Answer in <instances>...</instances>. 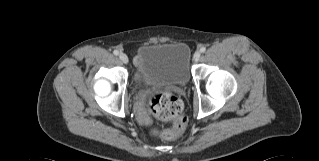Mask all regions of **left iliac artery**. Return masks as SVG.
<instances>
[{
	"label": "left iliac artery",
	"instance_id": "obj_1",
	"mask_svg": "<svg viewBox=\"0 0 319 161\" xmlns=\"http://www.w3.org/2000/svg\"><path fill=\"white\" fill-rule=\"evenodd\" d=\"M206 51V48L205 47H201V49H200V52H205Z\"/></svg>",
	"mask_w": 319,
	"mask_h": 161
}]
</instances>
